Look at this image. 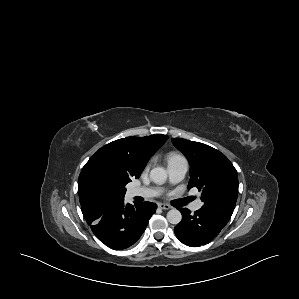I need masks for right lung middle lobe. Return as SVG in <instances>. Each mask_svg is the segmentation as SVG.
<instances>
[{
	"label": "right lung middle lobe",
	"instance_id": "dd1d6c3e",
	"mask_svg": "<svg viewBox=\"0 0 299 299\" xmlns=\"http://www.w3.org/2000/svg\"><path fill=\"white\" fill-rule=\"evenodd\" d=\"M85 186L88 190L100 194H118L124 197L128 183L124 178L115 173L107 165L94 162L84 173Z\"/></svg>",
	"mask_w": 299,
	"mask_h": 299
}]
</instances>
